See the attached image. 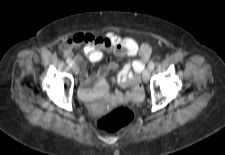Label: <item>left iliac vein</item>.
Instances as JSON below:
<instances>
[{
    "instance_id": "obj_1",
    "label": "left iliac vein",
    "mask_w": 225,
    "mask_h": 155,
    "mask_svg": "<svg viewBox=\"0 0 225 155\" xmlns=\"http://www.w3.org/2000/svg\"><path fill=\"white\" fill-rule=\"evenodd\" d=\"M150 75H151V69L150 68L145 69L142 74L143 81L148 82Z\"/></svg>"
}]
</instances>
